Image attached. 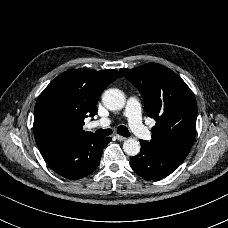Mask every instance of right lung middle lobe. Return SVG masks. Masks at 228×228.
Returning <instances> with one entry per match:
<instances>
[{
	"mask_svg": "<svg viewBox=\"0 0 228 228\" xmlns=\"http://www.w3.org/2000/svg\"><path fill=\"white\" fill-rule=\"evenodd\" d=\"M39 120L48 127H58L65 122L66 115L57 106L49 105L43 109Z\"/></svg>",
	"mask_w": 228,
	"mask_h": 228,
	"instance_id": "1",
	"label": "right lung middle lobe"
}]
</instances>
